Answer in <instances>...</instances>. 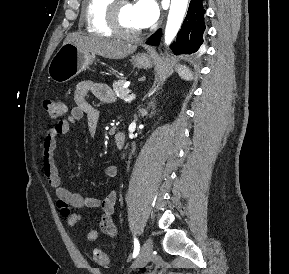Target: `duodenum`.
Here are the masks:
<instances>
[{
	"label": "duodenum",
	"instance_id": "obj_1",
	"mask_svg": "<svg viewBox=\"0 0 289 274\" xmlns=\"http://www.w3.org/2000/svg\"><path fill=\"white\" fill-rule=\"evenodd\" d=\"M114 141H115L116 148L119 150H122L126 143V136L124 132L122 131L117 132L114 136Z\"/></svg>",
	"mask_w": 289,
	"mask_h": 274
}]
</instances>
